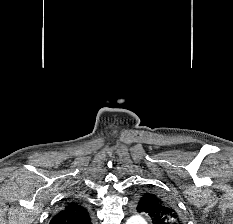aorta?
Listing matches in <instances>:
<instances>
[{
	"label": "aorta",
	"mask_w": 233,
	"mask_h": 224,
	"mask_svg": "<svg viewBox=\"0 0 233 224\" xmlns=\"http://www.w3.org/2000/svg\"><path fill=\"white\" fill-rule=\"evenodd\" d=\"M126 224H147V222L145 221V219L139 215H135L130 217Z\"/></svg>",
	"instance_id": "762f6f07"
}]
</instances>
